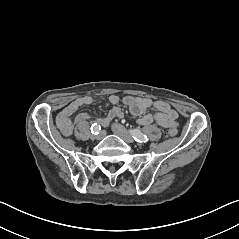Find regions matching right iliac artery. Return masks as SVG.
<instances>
[{
  "mask_svg": "<svg viewBox=\"0 0 239 239\" xmlns=\"http://www.w3.org/2000/svg\"><path fill=\"white\" fill-rule=\"evenodd\" d=\"M101 131V126L97 123L92 124L91 126V132L95 135L99 134Z\"/></svg>",
  "mask_w": 239,
  "mask_h": 239,
  "instance_id": "1",
  "label": "right iliac artery"
}]
</instances>
